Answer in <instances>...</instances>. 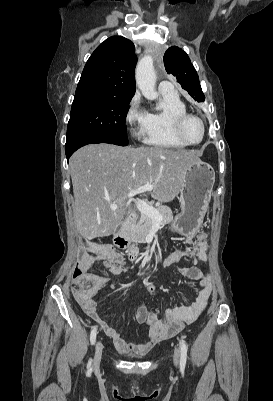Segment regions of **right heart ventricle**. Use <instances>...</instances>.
<instances>
[{"label": "right heart ventricle", "instance_id": "obj_1", "mask_svg": "<svg viewBox=\"0 0 273 401\" xmlns=\"http://www.w3.org/2000/svg\"><path fill=\"white\" fill-rule=\"evenodd\" d=\"M158 106L160 108L147 111L145 142L158 147L185 148L173 134L174 119L188 112L187 105L178 93L161 94Z\"/></svg>", "mask_w": 273, "mask_h": 401}]
</instances>
